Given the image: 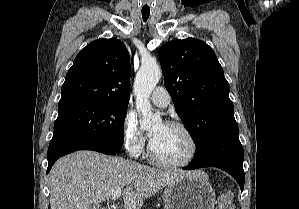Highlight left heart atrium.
<instances>
[{
  "mask_svg": "<svg viewBox=\"0 0 299 209\" xmlns=\"http://www.w3.org/2000/svg\"><path fill=\"white\" fill-rule=\"evenodd\" d=\"M154 139V137L152 135H150V142H152Z\"/></svg>",
  "mask_w": 299,
  "mask_h": 209,
  "instance_id": "left-heart-atrium-1",
  "label": "left heart atrium"
}]
</instances>
